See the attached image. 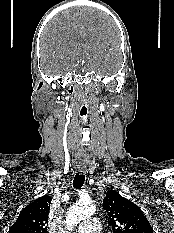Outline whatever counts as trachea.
Segmentation results:
<instances>
[{"mask_svg": "<svg viewBox=\"0 0 174 233\" xmlns=\"http://www.w3.org/2000/svg\"><path fill=\"white\" fill-rule=\"evenodd\" d=\"M84 182H85V175L77 173L73 180V186L75 189H79L83 186Z\"/></svg>", "mask_w": 174, "mask_h": 233, "instance_id": "1", "label": "trachea"}]
</instances>
